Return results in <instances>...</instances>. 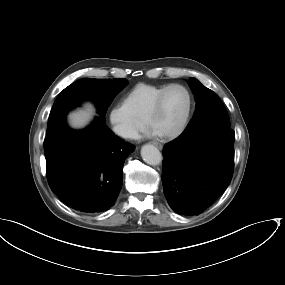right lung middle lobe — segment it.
<instances>
[{
  "label": "right lung middle lobe",
  "mask_w": 285,
  "mask_h": 285,
  "mask_svg": "<svg viewBox=\"0 0 285 285\" xmlns=\"http://www.w3.org/2000/svg\"><path fill=\"white\" fill-rule=\"evenodd\" d=\"M127 83L126 79L83 78L75 81L56 98L49 115L47 134L51 133L64 121L67 112L79 105L83 99L94 101L97 105L99 116L105 119L107 108Z\"/></svg>",
  "instance_id": "dd1d6c3e"
}]
</instances>
